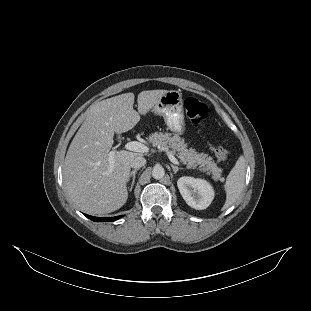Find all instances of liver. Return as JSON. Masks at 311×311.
<instances>
[{
    "mask_svg": "<svg viewBox=\"0 0 311 311\" xmlns=\"http://www.w3.org/2000/svg\"><path fill=\"white\" fill-rule=\"evenodd\" d=\"M168 90L123 93L94 105L74 136L63 166V181L71 200L81 210L106 215L122 208L129 197L130 162L142 152L118 151L109 170L115 135L127 133L147 116Z\"/></svg>",
    "mask_w": 311,
    "mask_h": 311,
    "instance_id": "obj_1",
    "label": "liver"
}]
</instances>
